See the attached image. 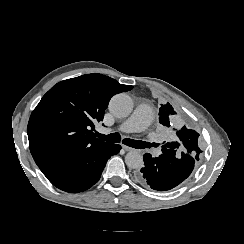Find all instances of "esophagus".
<instances>
[{"label":"esophagus","mask_w":244,"mask_h":244,"mask_svg":"<svg viewBox=\"0 0 244 244\" xmlns=\"http://www.w3.org/2000/svg\"><path fill=\"white\" fill-rule=\"evenodd\" d=\"M122 148L124 149V151L126 152H130V151H133L134 149L129 147V146H126V145H122Z\"/></svg>","instance_id":"esophagus-1"}]
</instances>
